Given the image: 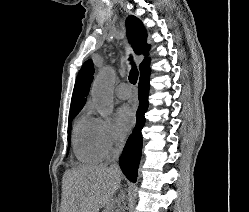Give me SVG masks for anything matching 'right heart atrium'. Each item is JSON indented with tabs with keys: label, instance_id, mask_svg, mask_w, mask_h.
<instances>
[{
	"label": "right heart atrium",
	"instance_id": "1",
	"mask_svg": "<svg viewBox=\"0 0 249 212\" xmlns=\"http://www.w3.org/2000/svg\"><path fill=\"white\" fill-rule=\"evenodd\" d=\"M95 141L101 160L112 158L122 144V138L118 135L112 122L103 118H95Z\"/></svg>",
	"mask_w": 249,
	"mask_h": 212
}]
</instances>
